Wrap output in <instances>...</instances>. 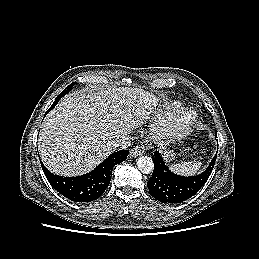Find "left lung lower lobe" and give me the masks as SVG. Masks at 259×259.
<instances>
[{
  "mask_svg": "<svg viewBox=\"0 0 259 259\" xmlns=\"http://www.w3.org/2000/svg\"><path fill=\"white\" fill-rule=\"evenodd\" d=\"M216 157L217 154L213 157L207 169L200 175L184 177L171 172L161 154L155 152L154 157H152L154 171L147 183L150 194L155 199L165 203H180L189 199L208 180L214 168Z\"/></svg>",
  "mask_w": 259,
  "mask_h": 259,
  "instance_id": "1",
  "label": "left lung lower lobe"
}]
</instances>
